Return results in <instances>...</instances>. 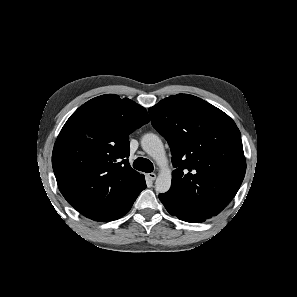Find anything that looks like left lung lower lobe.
Wrapping results in <instances>:
<instances>
[{"label":"left lung lower lobe","mask_w":297,"mask_h":297,"mask_svg":"<svg viewBox=\"0 0 297 297\" xmlns=\"http://www.w3.org/2000/svg\"><path fill=\"white\" fill-rule=\"evenodd\" d=\"M159 199L167 209V211L173 215L178 217L180 220L190 222V223H200L204 222L206 219L199 216L198 214L184 208L181 206L174 197L170 194H160Z\"/></svg>","instance_id":"obj_1"}]
</instances>
